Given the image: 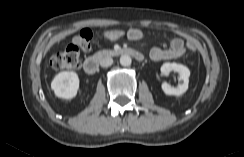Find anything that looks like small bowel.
Returning a JSON list of instances; mask_svg holds the SVG:
<instances>
[{
  "label": "small bowel",
  "mask_w": 244,
  "mask_h": 157,
  "mask_svg": "<svg viewBox=\"0 0 244 157\" xmlns=\"http://www.w3.org/2000/svg\"><path fill=\"white\" fill-rule=\"evenodd\" d=\"M126 36L131 41H137L143 37V32L140 29L132 28L127 31ZM185 51L183 40L180 38H173L170 41V46L166 49L158 47L152 48L150 51V58L153 61L171 60L181 57Z\"/></svg>",
  "instance_id": "1"
}]
</instances>
